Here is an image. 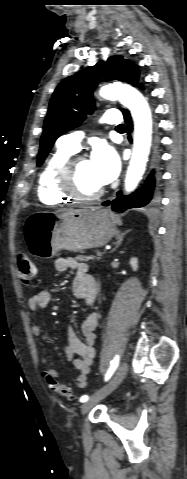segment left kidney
Instances as JSON below:
<instances>
[{
    "label": "left kidney",
    "instance_id": "obj_1",
    "mask_svg": "<svg viewBox=\"0 0 187 479\" xmlns=\"http://www.w3.org/2000/svg\"><path fill=\"white\" fill-rule=\"evenodd\" d=\"M129 263H130L133 271H137V269H138V259L133 257V258L130 259Z\"/></svg>",
    "mask_w": 187,
    "mask_h": 479
}]
</instances>
